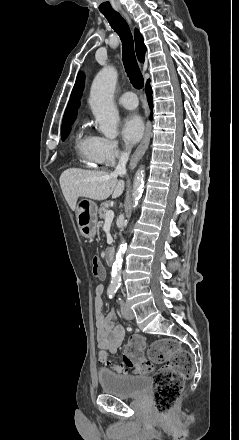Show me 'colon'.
Returning a JSON list of instances; mask_svg holds the SVG:
<instances>
[{
    "mask_svg": "<svg viewBox=\"0 0 239 440\" xmlns=\"http://www.w3.org/2000/svg\"><path fill=\"white\" fill-rule=\"evenodd\" d=\"M92 272L104 278V268L97 257L92 260ZM145 340L140 335H132L123 350L122 365H114L117 372L126 369L139 374L154 373L152 398L157 413L167 414L175 405L185 381L193 371V358L180 344L171 339H161L153 343L150 359L144 357ZM155 364L162 366L155 370Z\"/></svg>",
    "mask_w": 239,
    "mask_h": 440,
    "instance_id": "1",
    "label": "colon"
}]
</instances>
